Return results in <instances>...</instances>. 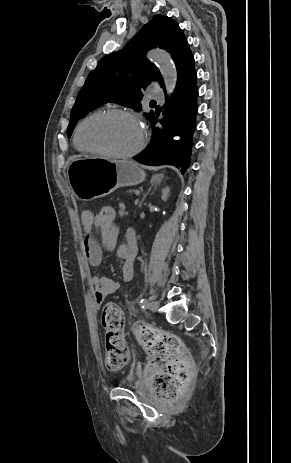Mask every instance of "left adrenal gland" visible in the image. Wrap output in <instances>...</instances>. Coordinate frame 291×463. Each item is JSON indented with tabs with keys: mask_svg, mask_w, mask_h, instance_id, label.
Segmentation results:
<instances>
[{
	"mask_svg": "<svg viewBox=\"0 0 291 463\" xmlns=\"http://www.w3.org/2000/svg\"><path fill=\"white\" fill-rule=\"evenodd\" d=\"M161 179H162V176H161V175H156V176H154V177L152 178V180H151V187L149 188V191L147 192V194L151 191V189H152L153 186L157 187V186L160 184ZM147 194H145V195L143 196V198H142V200H141V202H140V204H139V207L142 205V203H143V201H144V199H145V197H146Z\"/></svg>",
	"mask_w": 291,
	"mask_h": 463,
	"instance_id": "obj_1",
	"label": "left adrenal gland"
}]
</instances>
